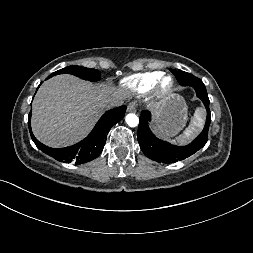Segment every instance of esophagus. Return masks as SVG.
I'll list each match as a JSON object with an SVG mask.
<instances>
[{"mask_svg": "<svg viewBox=\"0 0 253 253\" xmlns=\"http://www.w3.org/2000/svg\"><path fill=\"white\" fill-rule=\"evenodd\" d=\"M127 110H128V112H135L136 111V104L134 102L129 103Z\"/></svg>", "mask_w": 253, "mask_h": 253, "instance_id": "obj_1", "label": "esophagus"}]
</instances>
